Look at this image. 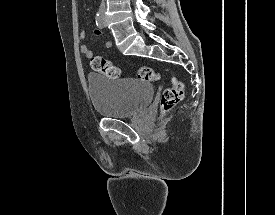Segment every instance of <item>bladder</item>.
Instances as JSON below:
<instances>
[{
  "label": "bladder",
  "mask_w": 275,
  "mask_h": 215,
  "mask_svg": "<svg viewBox=\"0 0 275 215\" xmlns=\"http://www.w3.org/2000/svg\"><path fill=\"white\" fill-rule=\"evenodd\" d=\"M87 82L94 110L108 118L131 117L146 109L154 95L153 85L136 78L113 80L90 74Z\"/></svg>",
  "instance_id": "obj_1"
}]
</instances>
